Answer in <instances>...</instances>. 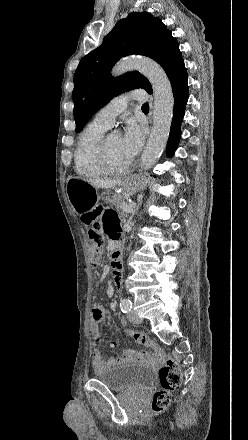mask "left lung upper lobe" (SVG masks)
<instances>
[{
  "label": "left lung upper lobe",
  "instance_id": "1",
  "mask_svg": "<svg viewBox=\"0 0 248 440\" xmlns=\"http://www.w3.org/2000/svg\"><path fill=\"white\" fill-rule=\"evenodd\" d=\"M145 55L165 70L170 82L187 76L178 42L159 18L132 12L120 20L97 49L84 56L74 75V118L80 132L91 116L125 90L143 88L152 94L146 77L138 71L111 77L112 66L123 56Z\"/></svg>",
  "mask_w": 248,
  "mask_h": 440
}]
</instances>
